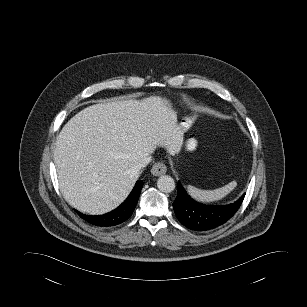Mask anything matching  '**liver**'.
<instances>
[{"mask_svg":"<svg viewBox=\"0 0 307 307\" xmlns=\"http://www.w3.org/2000/svg\"><path fill=\"white\" fill-rule=\"evenodd\" d=\"M184 131L167 99L149 97L89 106L56 140L60 190L77 210L97 215L120 205L140 176L138 161L157 146L178 153Z\"/></svg>","mask_w":307,"mask_h":307,"instance_id":"liver-1","label":"liver"}]
</instances>
